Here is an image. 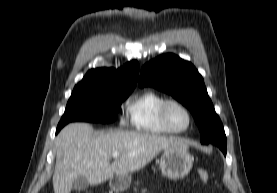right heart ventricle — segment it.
Listing matches in <instances>:
<instances>
[{
	"label": "right heart ventricle",
	"instance_id": "1",
	"mask_svg": "<svg viewBox=\"0 0 277 193\" xmlns=\"http://www.w3.org/2000/svg\"><path fill=\"white\" fill-rule=\"evenodd\" d=\"M165 100L163 95L153 90L143 91L130 100L126 114L131 127L145 134H167L159 119L160 107Z\"/></svg>",
	"mask_w": 277,
	"mask_h": 193
}]
</instances>
